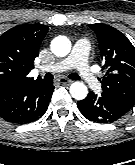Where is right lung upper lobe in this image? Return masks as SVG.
Masks as SVG:
<instances>
[{
	"label": "right lung upper lobe",
	"instance_id": "cb5924a9",
	"mask_svg": "<svg viewBox=\"0 0 135 165\" xmlns=\"http://www.w3.org/2000/svg\"><path fill=\"white\" fill-rule=\"evenodd\" d=\"M48 32L42 24H23L13 27L0 36V89L13 84L44 82L28 77L34 59Z\"/></svg>",
	"mask_w": 135,
	"mask_h": 165
}]
</instances>
